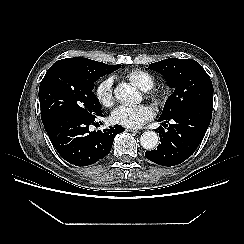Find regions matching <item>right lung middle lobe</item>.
<instances>
[{"label":"right lung middle lobe","mask_w":244,"mask_h":244,"mask_svg":"<svg viewBox=\"0 0 244 244\" xmlns=\"http://www.w3.org/2000/svg\"><path fill=\"white\" fill-rule=\"evenodd\" d=\"M121 65L84 66L70 60L55 62L39 87L42 122L62 116L94 117L102 114L101 105L92 92L94 83Z\"/></svg>","instance_id":"right-lung-middle-lobe-1"}]
</instances>
